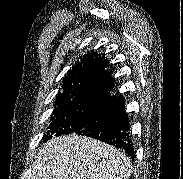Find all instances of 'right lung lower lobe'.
I'll list each match as a JSON object with an SVG mask.
<instances>
[{"label":"right lung lower lobe","mask_w":183,"mask_h":179,"mask_svg":"<svg viewBox=\"0 0 183 179\" xmlns=\"http://www.w3.org/2000/svg\"><path fill=\"white\" fill-rule=\"evenodd\" d=\"M106 99L107 106L99 118L74 134L92 137L113 145L124 150L134 159L135 153L124 98L121 95L109 94Z\"/></svg>","instance_id":"1"}]
</instances>
